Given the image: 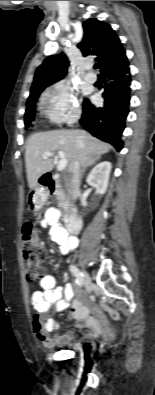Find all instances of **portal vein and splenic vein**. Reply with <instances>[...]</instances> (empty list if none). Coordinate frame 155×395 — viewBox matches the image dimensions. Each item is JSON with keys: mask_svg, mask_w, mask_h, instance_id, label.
<instances>
[{"mask_svg": "<svg viewBox=\"0 0 155 395\" xmlns=\"http://www.w3.org/2000/svg\"><path fill=\"white\" fill-rule=\"evenodd\" d=\"M51 156H52V153H51V152H46V153L43 155V159H47V158H49V157H51ZM58 156L60 157V160H59L58 165H57V170H58V171H62V170H64L65 167L67 166L68 161H67V159H66V157H65V153H64L63 151H59V152H58Z\"/></svg>", "mask_w": 155, "mask_h": 395, "instance_id": "obj_1", "label": "portal vein and splenic vein"}]
</instances>
